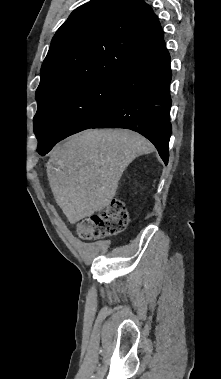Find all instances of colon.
Masks as SVG:
<instances>
[{
	"label": "colon",
	"instance_id": "5ec220e1",
	"mask_svg": "<svg viewBox=\"0 0 221 379\" xmlns=\"http://www.w3.org/2000/svg\"><path fill=\"white\" fill-rule=\"evenodd\" d=\"M129 222L124 202L113 200L98 213L81 220L77 233L84 240L103 238L122 232Z\"/></svg>",
	"mask_w": 221,
	"mask_h": 379
}]
</instances>
